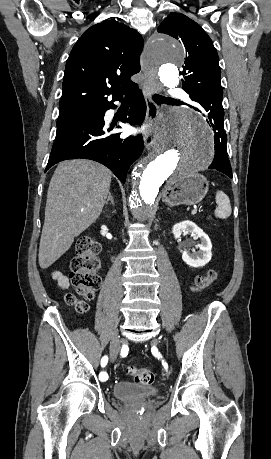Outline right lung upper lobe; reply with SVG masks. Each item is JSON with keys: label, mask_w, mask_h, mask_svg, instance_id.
Here are the masks:
<instances>
[{"label": "right lung upper lobe", "mask_w": 271, "mask_h": 459, "mask_svg": "<svg viewBox=\"0 0 271 459\" xmlns=\"http://www.w3.org/2000/svg\"><path fill=\"white\" fill-rule=\"evenodd\" d=\"M143 38L115 20L90 27L78 39L66 63L59 111L107 104V96L122 98L136 84Z\"/></svg>", "instance_id": "obj_1"}]
</instances>
